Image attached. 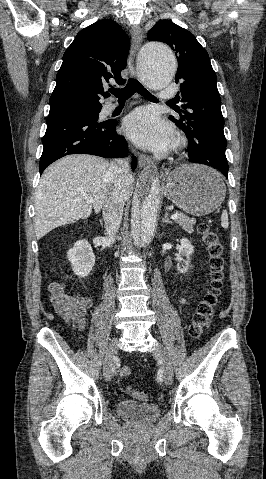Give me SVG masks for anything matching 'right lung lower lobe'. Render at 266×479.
Instances as JSON below:
<instances>
[{
  "mask_svg": "<svg viewBox=\"0 0 266 479\" xmlns=\"http://www.w3.org/2000/svg\"><path fill=\"white\" fill-rule=\"evenodd\" d=\"M98 118L69 110L49 112L40 158V174L55 160L69 154H91L105 158L125 157L127 143L115 131L117 121L98 122ZM132 157L131 167L136 168Z\"/></svg>",
  "mask_w": 266,
  "mask_h": 479,
  "instance_id": "1",
  "label": "right lung lower lobe"
}]
</instances>
